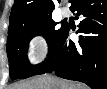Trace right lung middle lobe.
Wrapping results in <instances>:
<instances>
[{
  "instance_id": "1",
  "label": "right lung middle lobe",
  "mask_w": 107,
  "mask_h": 89,
  "mask_svg": "<svg viewBox=\"0 0 107 89\" xmlns=\"http://www.w3.org/2000/svg\"><path fill=\"white\" fill-rule=\"evenodd\" d=\"M57 24L52 20V17H47L9 27L7 55L12 80L34 76L42 63L35 66L29 64L27 59L28 43L36 35L44 36L48 43L49 56L67 26L62 25L61 28L57 29Z\"/></svg>"
}]
</instances>
